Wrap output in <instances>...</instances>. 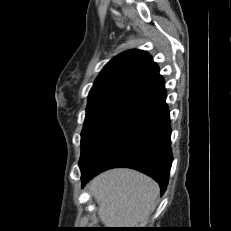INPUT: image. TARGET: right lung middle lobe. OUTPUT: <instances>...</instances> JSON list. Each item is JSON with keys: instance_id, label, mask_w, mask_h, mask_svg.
Segmentation results:
<instances>
[{"instance_id": "right-lung-middle-lobe-1", "label": "right lung middle lobe", "mask_w": 231, "mask_h": 231, "mask_svg": "<svg viewBox=\"0 0 231 231\" xmlns=\"http://www.w3.org/2000/svg\"><path fill=\"white\" fill-rule=\"evenodd\" d=\"M149 104L131 96H108L88 104L81 132L82 167L90 156L121 126Z\"/></svg>"}]
</instances>
